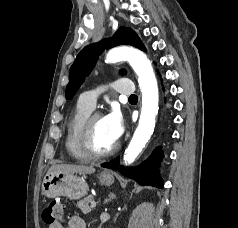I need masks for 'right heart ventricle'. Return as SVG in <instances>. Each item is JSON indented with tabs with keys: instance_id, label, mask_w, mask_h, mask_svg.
<instances>
[{
	"instance_id": "obj_1",
	"label": "right heart ventricle",
	"mask_w": 238,
	"mask_h": 228,
	"mask_svg": "<svg viewBox=\"0 0 238 228\" xmlns=\"http://www.w3.org/2000/svg\"><path fill=\"white\" fill-rule=\"evenodd\" d=\"M92 111L93 109L78 100L67 121L65 148L68 154L79 162H86L91 159L81 149L80 136L83 123Z\"/></svg>"
}]
</instances>
